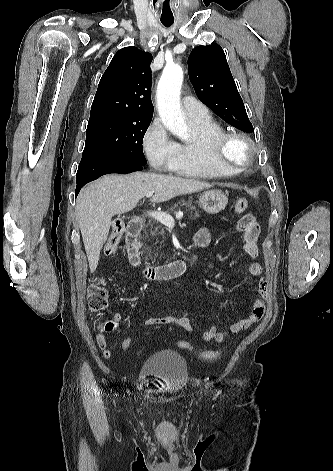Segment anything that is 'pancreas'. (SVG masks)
Masks as SVG:
<instances>
[{
	"label": "pancreas",
	"mask_w": 333,
	"mask_h": 471,
	"mask_svg": "<svg viewBox=\"0 0 333 471\" xmlns=\"http://www.w3.org/2000/svg\"><path fill=\"white\" fill-rule=\"evenodd\" d=\"M181 207V206H186L187 208H189L191 210V217L193 219H196L199 217V211L196 210L195 206L193 205V202L191 200H189L188 202H185V201H181L179 202L177 205L175 206H178ZM194 212V215L192 214ZM168 213V211L166 212ZM158 221H155V220H149V222L147 223V225L145 226V228L147 227H150V231H144V234H143V238L146 239L149 237L150 235V239L151 240H155L156 242L153 243V245L157 244L159 242V240L157 239V235H164V228L162 227V225H158L157 224ZM154 224H156V226H154ZM147 249V252L149 254V257L153 260L152 263L155 262V258L152 256V248L151 247H146Z\"/></svg>",
	"instance_id": "1"
}]
</instances>
